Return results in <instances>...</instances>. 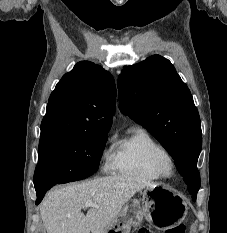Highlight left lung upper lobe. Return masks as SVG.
I'll return each mask as SVG.
<instances>
[{
    "mask_svg": "<svg viewBox=\"0 0 227 233\" xmlns=\"http://www.w3.org/2000/svg\"><path fill=\"white\" fill-rule=\"evenodd\" d=\"M120 110L145 127L169 152L195 201L201 122L187 85L169 60L153 55L125 67L117 81Z\"/></svg>",
    "mask_w": 227,
    "mask_h": 233,
    "instance_id": "obj_1",
    "label": "left lung upper lobe"
}]
</instances>
